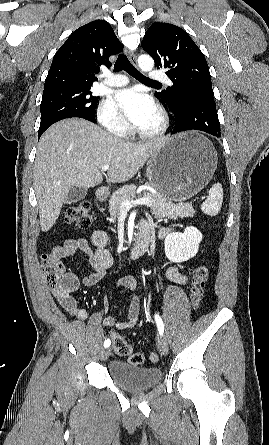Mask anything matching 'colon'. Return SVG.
I'll return each mask as SVG.
<instances>
[{"instance_id":"1","label":"colon","mask_w":269,"mask_h":445,"mask_svg":"<svg viewBox=\"0 0 269 445\" xmlns=\"http://www.w3.org/2000/svg\"><path fill=\"white\" fill-rule=\"evenodd\" d=\"M65 222L74 224L78 228H87L92 222L91 206L88 202H80L68 208L65 213ZM42 271L46 285L49 288L62 291L66 296L76 289V282L68 276L59 261L54 260L51 255L42 256ZM209 278V268L205 263L197 265L192 272V287L190 301L193 308H198L204 298L205 285ZM69 303V299L65 297ZM112 346L120 356H127L132 365H141L145 357L141 353H133L132 347L123 337L112 334ZM151 363H156L159 356L156 352H150L147 356Z\"/></svg>"}]
</instances>
